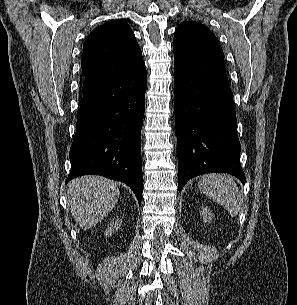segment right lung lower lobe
<instances>
[{
  "label": "right lung lower lobe",
  "mask_w": 297,
  "mask_h": 305,
  "mask_svg": "<svg viewBox=\"0 0 297 305\" xmlns=\"http://www.w3.org/2000/svg\"><path fill=\"white\" fill-rule=\"evenodd\" d=\"M145 65L131 74L84 93L70 148L67 182L101 175L126 183L141 204V128L145 109Z\"/></svg>",
  "instance_id": "right-lung-lower-lobe-1"
}]
</instances>
